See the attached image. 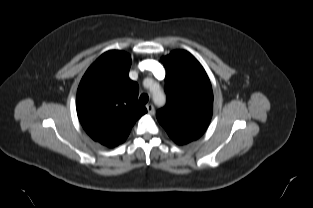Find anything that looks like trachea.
Returning <instances> with one entry per match:
<instances>
[{"label": "trachea", "mask_w": 313, "mask_h": 208, "mask_svg": "<svg viewBox=\"0 0 313 208\" xmlns=\"http://www.w3.org/2000/svg\"><path fill=\"white\" fill-rule=\"evenodd\" d=\"M148 100H149V97H148L147 94H142V95L140 96V102H141L142 104H146V103L148 102Z\"/></svg>", "instance_id": "1"}]
</instances>
